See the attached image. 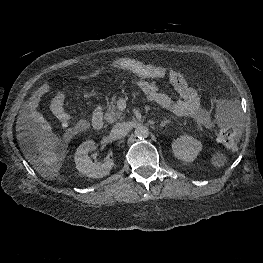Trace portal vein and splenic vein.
Here are the masks:
<instances>
[{
  "mask_svg": "<svg viewBox=\"0 0 263 263\" xmlns=\"http://www.w3.org/2000/svg\"><path fill=\"white\" fill-rule=\"evenodd\" d=\"M118 107H119L120 110H124V109L126 108V103H125V101H124V100H120Z\"/></svg>",
  "mask_w": 263,
  "mask_h": 263,
  "instance_id": "portal-vein-and-splenic-vein-1",
  "label": "portal vein and splenic vein"
}]
</instances>
